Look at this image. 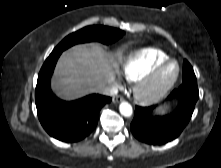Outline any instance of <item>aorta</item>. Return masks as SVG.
Masks as SVG:
<instances>
[{
	"label": "aorta",
	"instance_id": "obj_1",
	"mask_svg": "<svg viewBox=\"0 0 221 168\" xmlns=\"http://www.w3.org/2000/svg\"><path fill=\"white\" fill-rule=\"evenodd\" d=\"M120 113L124 117H130L132 115V106L128 102H122L119 106Z\"/></svg>",
	"mask_w": 221,
	"mask_h": 168
}]
</instances>
